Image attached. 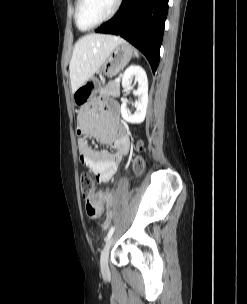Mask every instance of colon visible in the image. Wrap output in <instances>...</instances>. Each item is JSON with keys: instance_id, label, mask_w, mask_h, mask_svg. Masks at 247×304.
Wrapping results in <instances>:
<instances>
[{"instance_id": "colon-1", "label": "colon", "mask_w": 247, "mask_h": 304, "mask_svg": "<svg viewBox=\"0 0 247 304\" xmlns=\"http://www.w3.org/2000/svg\"><path fill=\"white\" fill-rule=\"evenodd\" d=\"M143 169V160L140 157H136L133 161V171L138 174ZM95 180L91 174L84 172L80 176V189L82 195L87 198L86 210L91 219L97 218L104 204L109 199V194L105 191L95 192Z\"/></svg>"}]
</instances>
